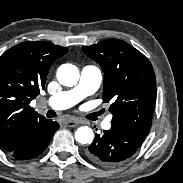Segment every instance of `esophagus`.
<instances>
[{
    "label": "esophagus",
    "mask_w": 183,
    "mask_h": 183,
    "mask_svg": "<svg viewBox=\"0 0 183 183\" xmlns=\"http://www.w3.org/2000/svg\"><path fill=\"white\" fill-rule=\"evenodd\" d=\"M83 123L82 120H76V119H68L65 121V124L68 126V127H75L79 124Z\"/></svg>",
    "instance_id": "esophagus-1"
}]
</instances>
